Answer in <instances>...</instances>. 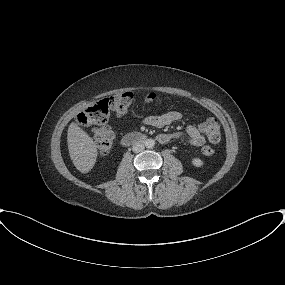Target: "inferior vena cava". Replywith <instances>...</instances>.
Segmentation results:
<instances>
[{
    "instance_id": "obj_1",
    "label": "inferior vena cava",
    "mask_w": 285,
    "mask_h": 285,
    "mask_svg": "<svg viewBox=\"0 0 285 285\" xmlns=\"http://www.w3.org/2000/svg\"><path fill=\"white\" fill-rule=\"evenodd\" d=\"M145 149V145L141 142H136L133 146H132V150L134 153H139L142 152Z\"/></svg>"
}]
</instances>
